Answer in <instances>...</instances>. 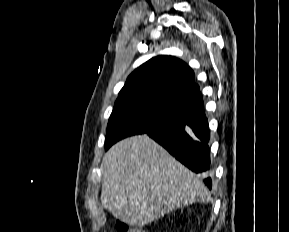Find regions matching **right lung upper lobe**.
Listing matches in <instances>:
<instances>
[{
  "mask_svg": "<svg viewBox=\"0 0 289 232\" xmlns=\"http://www.w3.org/2000/svg\"><path fill=\"white\" fill-rule=\"evenodd\" d=\"M143 99L182 112L203 107L194 73L183 61L171 56L154 57L127 78L118 99Z\"/></svg>",
  "mask_w": 289,
  "mask_h": 232,
  "instance_id": "cb5924a9",
  "label": "right lung upper lobe"
}]
</instances>
